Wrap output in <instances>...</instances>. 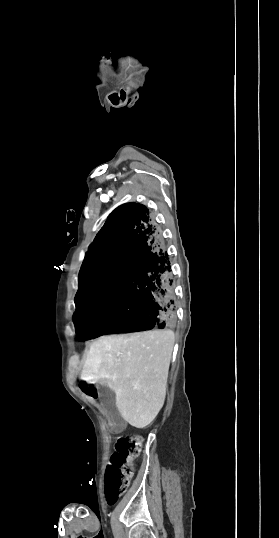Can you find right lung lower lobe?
Listing matches in <instances>:
<instances>
[{
	"mask_svg": "<svg viewBox=\"0 0 279 538\" xmlns=\"http://www.w3.org/2000/svg\"><path fill=\"white\" fill-rule=\"evenodd\" d=\"M166 246L146 206L127 203L110 214L79 273L74 323L80 337L174 328Z\"/></svg>",
	"mask_w": 279,
	"mask_h": 538,
	"instance_id": "98d812e1",
	"label": "right lung lower lobe"
}]
</instances>
